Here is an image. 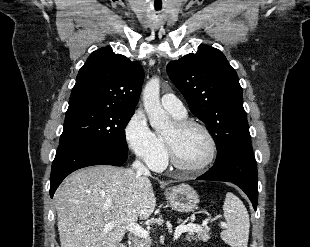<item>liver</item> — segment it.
I'll list each match as a JSON object with an SVG mask.
<instances>
[{"instance_id":"obj_1","label":"liver","mask_w":310,"mask_h":247,"mask_svg":"<svg viewBox=\"0 0 310 247\" xmlns=\"http://www.w3.org/2000/svg\"><path fill=\"white\" fill-rule=\"evenodd\" d=\"M54 204L61 247H117L130 223L150 217L156 198L148 175L98 165L69 176L55 192Z\"/></svg>"}]
</instances>
